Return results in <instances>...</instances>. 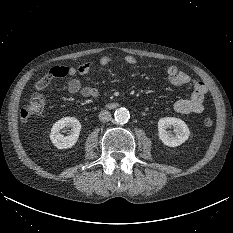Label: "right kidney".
I'll return each mask as SVG.
<instances>
[{
	"label": "right kidney",
	"instance_id": "obj_1",
	"mask_svg": "<svg viewBox=\"0 0 233 233\" xmlns=\"http://www.w3.org/2000/svg\"><path fill=\"white\" fill-rule=\"evenodd\" d=\"M65 127L71 128V134L64 136L61 134ZM81 131V124L75 117H65L58 120L51 129L50 139L58 149H67L73 147L78 141Z\"/></svg>",
	"mask_w": 233,
	"mask_h": 233
}]
</instances>
